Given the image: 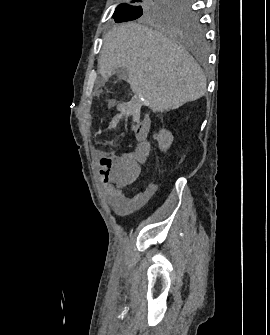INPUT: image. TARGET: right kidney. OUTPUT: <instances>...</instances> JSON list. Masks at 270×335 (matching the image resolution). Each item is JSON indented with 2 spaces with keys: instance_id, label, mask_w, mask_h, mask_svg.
I'll use <instances>...</instances> for the list:
<instances>
[{
  "instance_id": "obj_1",
  "label": "right kidney",
  "mask_w": 270,
  "mask_h": 335,
  "mask_svg": "<svg viewBox=\"0 0 270 335\" xmlns=\"http://www.w3.org/2000/svg\"><path fill=\"white\" fill-rule=\"evenodd\" d=\"M153 138L157 140L161 152H167L173 142V136L168 130H160L158 134H154Z\"/></svg>"
}]
</instances>
